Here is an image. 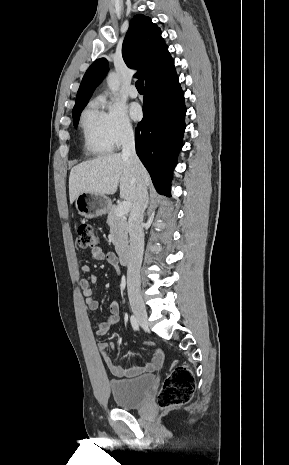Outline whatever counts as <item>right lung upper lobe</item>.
I'll list each match as a JSON object with an SVG mask.
<instances>
[{"label":"right lung upper lobe","mask_w":289,"mask_h":465,"mask_svg":"<svg viewBox=\"0 0 289 465\" xmlns=\"http://www.w3.org/2000/svg\"><path fill=\"white\" fill-rule=\"evenodd\" d=\"M126 65L137 69L136 77L145 79V87L176 75L174 60L161 37V30L149 17L135 15L122 46ZM105 58L97 59L86 71L77 92L76 102L88 100L107 71Z\"/></svg>","instance_id":"1"}]
</instances>
